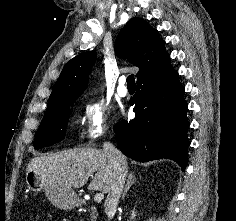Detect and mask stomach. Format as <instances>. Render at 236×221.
Segmentation results:
<instances>
[{
    "instance_id": "0dacf381",
    "label": "stomach",
    "mask_w": 236,
    "mask_h": 221,
    "mask_svg": "<svg viewBox=\"0 0 236 221\" xmlns=\"http://www.w3.org/2000/svg\"><path fill=\"white\" fill-rule=\"evenodd\" d=\"M26 184L33 191L43 190L52 204L60 209L70 210L79 202L72 188L37 172H26Z\"/></svg>"
}]
</instances>
